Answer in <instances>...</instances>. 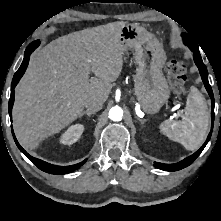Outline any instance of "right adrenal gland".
I'll return each mask as SVG.
<instances>
[{
	"label": "right adrenal gland",
	"instance_id": "2a0ac1e0",
	"mask_svg": "<svg viewBox=\"0 0 221 221\" xmlns=\"http://www.w3.org/2000/svg\"><path fill=\"white\" fill-rule=\"evenodd\" d=\"M92 114H95V112H94V111L86 110V111H83V112L79 115V118H81V117L84 116V115H87L88 117H90Z\"/></svg>",
	"mask_w": 221,
	"mask_h": 221
}]
</instances>
